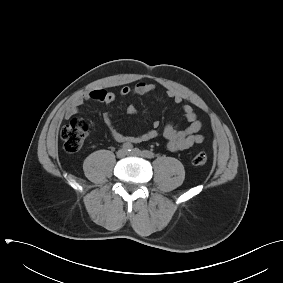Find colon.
Masks as SVG:
<instances>
[{
	"label": "colon",
	"instance_id": "1",
	"mask_svg": "<svg viewBox=\"0 0 283 283\" xmlns=\"http://www.w3.org/2000/svg\"><path fill=\"white\" fill-rule=\"evenodd\" d=\"M88 134L87 123L80 119L74 118L66 124L61 130V138L64 148L68 152L78 151ZM207 162V155L204 152H198L193 158V164L202 166Z\"/></svg>",
	"mask_w": 283,
	"mask_h": 283
}]
</instances>
